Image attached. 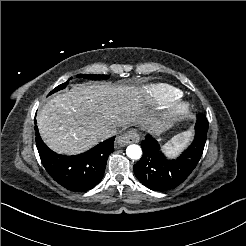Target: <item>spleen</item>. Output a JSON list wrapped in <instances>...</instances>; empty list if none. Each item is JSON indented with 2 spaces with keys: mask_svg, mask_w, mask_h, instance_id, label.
Masks as SVG:
<instances>
[{
  "mask_svg": "<svg viewBox=\"0 0 246 246\" xmlns=\"http://www.w3.org/2000/svg\"><path fill=\"white\" fill-rule=\"evenodd\" d=\"M192 136V130H187L185 132L175 135L170 141H168L163 146L166 155H168V157L170 158H173L174 156L179 154V152L189 144Z\"/></svg>",
  "mask_w": 246,
  "mask_h": 246,
  "instance_id": "3e777b00",
  "label": "spleen"
}]
</instances>
